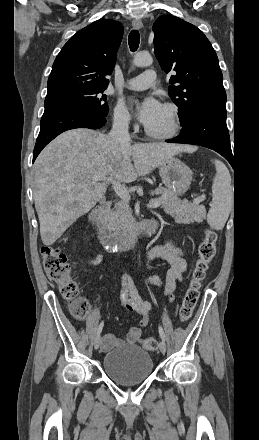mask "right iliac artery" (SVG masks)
<instances>
[{
	"label": "right iliac artery",
	"instance_id": "right-iliac-artery-1",
	"mask_svg": "<svg viewBox=\"0 0 259 440\" xmlns=\"http://www.w3.org/2000/svg\"><path fill=\"white\" fill-rule=\"evenodd\" d=\"M103 325H104V323L101 322L100 325L98 326V329H97V335H100V333H101V331H102V329H103Z\"/></svg>",
	"mask_w": 259,
	"mask_h": 440
}]
</instances>
